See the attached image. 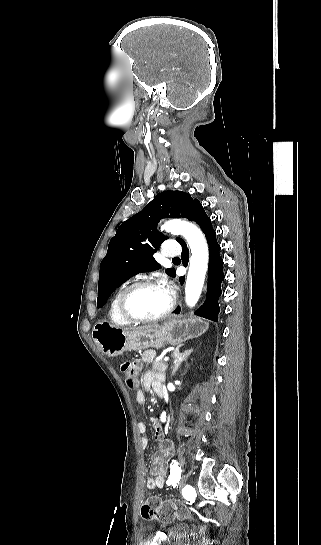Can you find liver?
Returning <instances> with one entry per match:
<instances>
[{
  "label": "liver",
  "instance_id": "obj_1",
  "mask_svg": "<svg viewBox=\"0 0 321 545\" xmlns=\"http://www.w3.org/2000/svg\"><path fill=\"white\" fill-rule=\"evenodd\" d=\"M153 327H157V325H147V327H140V329H137V331H142V329H153ZM125 333H128L129 329H123Z\"/></svg>",
  "mask_w": 321,
  "mask_h": 545
}]
</instances>
